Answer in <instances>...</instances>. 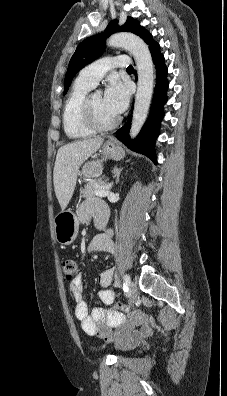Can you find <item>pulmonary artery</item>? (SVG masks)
Here are the masks:
<instances>
[{"label": "pulmonary artery", "instance_id": "e3ab8cb5", "mask_svg": "<svg viewBox=\"0 0 227 396\" xmlns=\"http://www.w3.org/2000/svg\"><path fill=\"white\" fill-rule=\"evenodd\" d=\"M129 63V58L125 55L101 58L86 66L78 78L94 87L107 71L116 67H127Z\"/></svg>", "mask_w": 227, "mask_h": 396}]
</instances>
